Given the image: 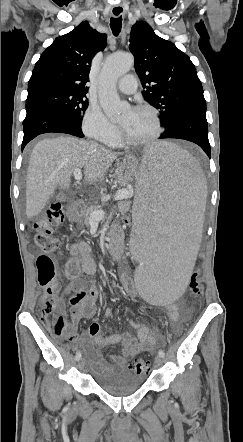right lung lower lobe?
Returning a JSON list of instances; mask_svg holds the SVG:
<instances>
[{"label":"right lung lower lobe","instance_id":"98d812e1","mask_svg":"<svg viewBox=\"0 0 243 442\" xmlns=\"http://www.w3.org/2000/svg\"><path fill=\"white\" fill-rule=\"evenodd\" d=\"M27 115L23 121L24 138L22 150L26 144L43 133H67L84 137L81 126L59 107L47 102L26 104Z\"/></svg>","mask_w":243,"mask_h":442}]
</instances>
